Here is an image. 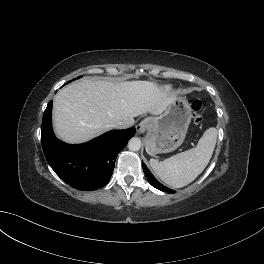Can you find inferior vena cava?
<instances>
[{
	"label": "inferior vena cava",
	"instance_id": "1",
	"mask_svg": "<svg viewBox=\"0 0 264 264\" xmlns=\"http://www.w3.org/2000/svg\"><path fill=\"white\" fill-rule=\"evenodd\" d=\"M113 127L117 129H124L127 128V125L124 122H117L113 125Z\"/></svg>",
	"mask_w": 264,
	"mask_h": 264
}]
</instances>
